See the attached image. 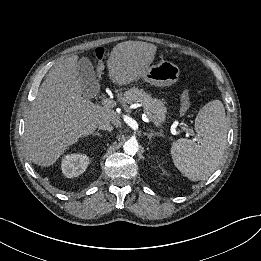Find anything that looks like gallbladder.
<instances>
[{
	"label": "gallbladder",
	"mask_w": 261,
	"mask_h": 261,
	"mask_svg": "<svg viewBox=\"0 0 261 261\" xmlns=\"http://www.w3.org/2000/svg\"><path fill=\"white\" fill-rule=\"evenodd\" d=\"M78 78L82 83V94L85 97H93L99 89V83L96 78L93 65L87 57L78 61Z\"/></svg>",
	"instance_id": "1"
}]
</instances>
